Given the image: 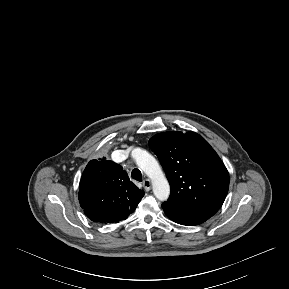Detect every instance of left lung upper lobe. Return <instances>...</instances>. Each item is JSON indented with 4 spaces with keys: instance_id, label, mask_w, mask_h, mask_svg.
<instances>
[{
    "instance_id": "5c2ea615",
    "label": "left lung upper lobe",
    "mask_w": 289,
    "mask_h": 289,
    "mask_svg": "<svg viewBox=\"0 0 289 289\" xmlns=\"http://www.w3.org/2000/svg\"><path fill=\"white\" fill-rule=\"evenodd\" d=\"M170 184L166 201L213 216L229 188V174L209 143L195 132H163L149 140Z\"/></svg>"
}]
</instances>
